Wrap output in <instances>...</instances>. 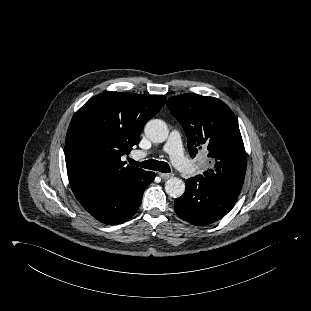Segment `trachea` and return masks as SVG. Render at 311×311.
I'll list each match as a JSON object with an SVG mask.
<instances>
[{"label":"trachea","mask_w":311,"mask_h":311,"mask_svg":"<svg viewBox=\"0 0 311 311\" xmlns=\"http://www.w3.org/2000/svg\"><path fill=\"white\" fill-rule=\"evenodd\" d=\"M129 163L133 166H138L149 170H157L162 173H169L171 171L169 164L164 161L150 159L143 162H137L133 159H129Z\"/></svg>","instance_id":"obj_1"}]
</instances>
